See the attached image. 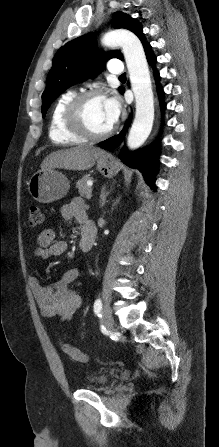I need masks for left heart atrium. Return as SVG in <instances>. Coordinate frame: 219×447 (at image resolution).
I'll return each instance as SVG.
<instances>
[{
	"label": "left heart atrium",
	"mask_w": 219,
	"mask_h": 447,
	"mask_svg": "<svg viewBox=\"0 0 219 447\" xmlns=\"http://www.w3.org/2000/svg\"><path fill=\"white\" fill-rule=\"evenodd\" d=\"M105 107L108 118L110 120L111 125L113 126L119 119L121 114V102L117 97H108L105 98Z\"/></svg>",
	"instance_id": "1"
}]
</instances>
